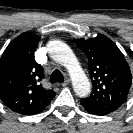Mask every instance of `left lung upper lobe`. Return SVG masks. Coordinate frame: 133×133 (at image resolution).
Returning a JSON list of instances; mask_svg holds the SVG:
<instances>
[{
    "label": "left lung upper lobe",
    "instance_id": "obj_1",
    "mask_svg": "<svg viewBox=\"0 0 133 133\" xmlns=\"http://www.w3.org/2000/svg\"><path fill=\"white\" fill-rule=\"evenodd\" d=\"M88 57V68L93 83L91 95L81 103L103 112L117 110L127 99L132 75L121 51L104 35L75 40Z\"/></svg>",
    "mask_w": 133,
    "mask_h": 133
}]
</instances>
